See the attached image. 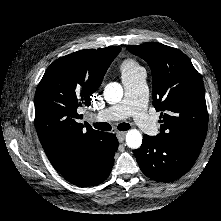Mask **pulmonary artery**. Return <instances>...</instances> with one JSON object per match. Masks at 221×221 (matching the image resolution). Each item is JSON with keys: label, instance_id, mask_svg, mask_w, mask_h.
I'll list each match as a JSON object with an SVG mask.
<instances>
[{"label": "pulmonary artery", "instance_id": "pulmonary-artery-1", "mask_svg": "<svg viewBox=\"0 0 221 221\" xmlns=\"http://www.w3.org/2000/svg\"><path fill=\"white\" fill-rule=\"evenodd\" d=\"M145 76V71L140 70L129 78H122L125 89L123 100L117 105L99 111L91 118L98 121H115L132 117L140 129L154 134L157 128L155 120L146 111L148 91Z\"/></svg>", "mask_w": 221, "mask_h": 221}]
</instances>
